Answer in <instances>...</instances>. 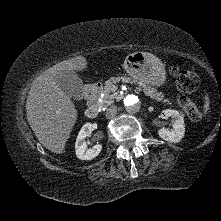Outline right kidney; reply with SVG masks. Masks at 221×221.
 I'll list each match as a JSON object with an SVG mask.
<instances>
[{
    "mask_svg": "<svg viewBox=\"0 0 221 221\" xmlns=\"http://www.w3.org/2000/svg\"><path fill=\"white\" fill-rule=\"evenodd\" d=\"M93 131V126L91 123H86L82 126L78 133L75 150L76 156L81 160H91L99 155L102 150L101 144H96L92 148H87L86 137Z\"/></svg>",
    "mask_w": 221,
    "mask_h": 221,
    "instance_id": "right-kidney-1",
    "label": "right kidney"
}]
</instances>
